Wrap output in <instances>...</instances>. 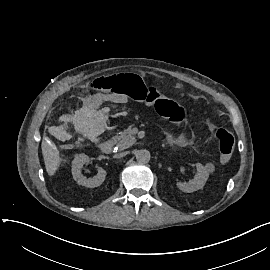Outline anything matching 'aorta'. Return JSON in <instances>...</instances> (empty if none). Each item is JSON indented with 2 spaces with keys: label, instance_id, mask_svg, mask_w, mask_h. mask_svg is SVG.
I'll return each instance as SVG.
<instances>
[{
  "label": "aorta",
  "instance_id": "1",
  "mask_svg": "<svg viewBox=\"0 0 270 270\" xmlns=\"http://www.w3.org/2000/svg\"><path fill=\"white\" fill-rule=\"evenodd\" d=\"M150 152L146 149L138 150L136 153V159L139 163H148L150 160Z\"/></svg>",
  "mask_w": 270,
  "mask_h": 270
}]
</instances>
